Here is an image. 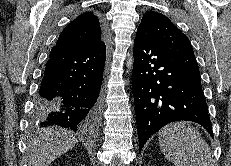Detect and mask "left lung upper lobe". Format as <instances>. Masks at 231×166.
Masks as SVG:
<instances>
[{
	"label": "left lung upper lobe",
	"instance_id": "5c2ea615",
	"mask_svg": "<svg viewBox=\"0 0 231 166\" xmlns=\"http://www.w3.org/2000/svg\"><path fill=\"white\" fill-rule=\"evenodd\" d=\"M137 31L161 46L194 53L188 37L163 14L147 12L142 17Z\"/></svg>",
	"mask_w": 231,
	"mask_h": 166
}]
</instances>
